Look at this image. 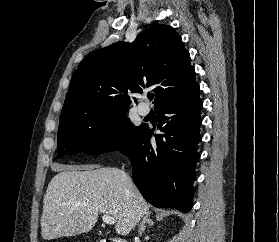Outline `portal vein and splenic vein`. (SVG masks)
Returning a JSON list of instances; mask_svg holds the SVG:
<instances>
[{
    "mask_svg": "<svg viewBox=\"0 0 279 242\" xmlns=\"http://www.w3.org/2000/svg\"><path fill=\"white\" fill-rule=\"evenodd\" d=\"M102 220L104 223L109 224V225H114L116 223V220L112 216L107 215V214L102 215Z\"/></svg>",
    "mask_w": 279,
    "mask_h": 242,
    "instance_id": "portal-vein-and-splenic-vein-1",
    "label": "portal vein and splenic vein"
}]
</instances>
